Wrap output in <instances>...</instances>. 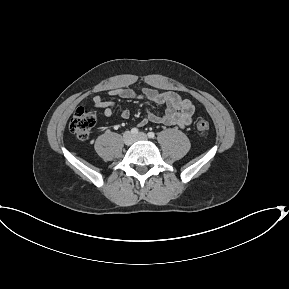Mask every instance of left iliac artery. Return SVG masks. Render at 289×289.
<instances>
[{
	"mask_svg": "<svg viewBox=\"0 0 289 289\" xmlns=\"http://www.w3.org/2000/svg\"><path fill=\"white\" fill-rule=\"evenodd\" d=\"M148 137L153 139V138L155 137L154 132H149V133H148Z\"/></svg>",
	"mask_w": 289,
	"mask_h": 289,
	"instance_id": "44dca946",
	"label": "left iliac artery"
}]
</instances>
